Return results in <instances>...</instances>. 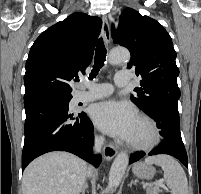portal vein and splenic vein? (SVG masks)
Returning a JSON list of instances; mask_svg holds the SVG:
<instances>
[{
    "label": "portal vein and splenic vein",
    "instance_id": "18ae733b",
    "mask_svg": "<svg viewBox=\"0 0 201 194\" xmlns=\"http://www.w3.org/2000/svg\"><path fill=\"white\" fill-rule=\"evenodd\" d=\"M153 185H156V186H160V187L166 188V186L164 185V183H163L162 180H159V181L155 182Z\"/></svg>",
    "mask_w": 201,
    "mask_h": 194
}]
</instances>
